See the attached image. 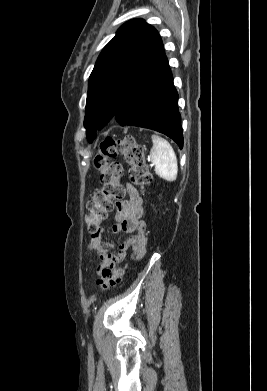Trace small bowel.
Instances as JSON below:
<instances>
[{
    "label": "small bowel",
    "instance_id": "obj_1",
    "mask_svg": "<svg viewBox=\"0 0 267 391\" xmlns=\"http://www.w3.org/2000/svg\"><path fill=\"white\" fill-rule=\"evenodd\" d=\"M128 198L119 200L115 204L114 224L111 227L113 233L125 232L131 234L117 249L105 241L101 234L91 239L89 250L96 253L100 259L97 266V274L108 267L126 260L131 249L135 259L142 258L146 253L147 238L146 225L141 220L143 215V202L138 190L131 184H127Z\"/></svg>",
    "mask_w": 267,
    "mask_h": 391
}]
</instances>
